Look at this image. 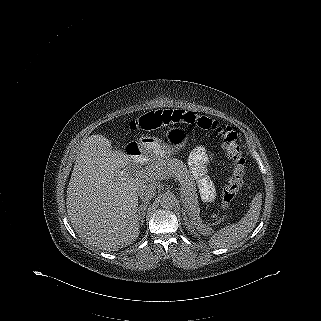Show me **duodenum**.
I'll return each instance as SVG.
<instances>
[{"mask_svg":"<svg viewBox=\"0 0 321 321\" xmlns=\"http://www.w3.org/2000/svg\"><path fill=\"white\" fill-rule=\"evenodd\" d=\"M138 154H143V151L140 149H137Z\"/></svg>","mask_w":321,"mask_h":321,"instance_id":"obj_1","label":"duodenum"}]
</instances>
